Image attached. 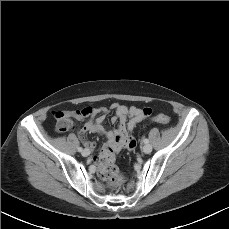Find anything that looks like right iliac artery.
<instances>
[{
    "label": "right iliac artery",
    "instance_id": "1",
    "mask_svg": "<svg viewBox=\"0 0 229 229\" xmlns=\"http://www.w3.org/2000/svg\"><path fill=\"white\" fill-rule=\"evenodd\" d=\"M83 150L82 147H78V151L81 152Z\"/></svg>",
    "mask_w": 229,
    "mask_h": 229
}]
</instances>
